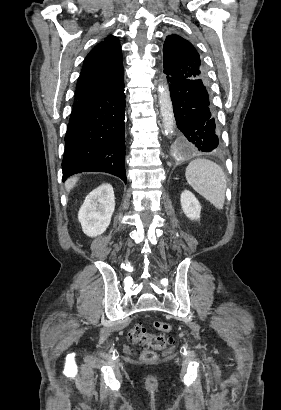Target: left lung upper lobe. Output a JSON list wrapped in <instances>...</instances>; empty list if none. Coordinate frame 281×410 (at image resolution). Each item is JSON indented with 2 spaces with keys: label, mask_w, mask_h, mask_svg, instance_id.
<instances>
[{
  "label": "left lung upper lobe",
  "mask_w": 281,
  "mask_h": 410,
  "mask_svg": "<svg viewBox=\"0 0 281 410\" xmlns=\"http://www.w3.org/2000/svg\"><path fill=\"white\" fill-rule=\"evenodd\" d=\"M163 72L167 77L206 81V72L194 46L179 35L171 34L163 47Z\"/></svg>",
  "instance_id": "obj_1"
}]
</instances>
